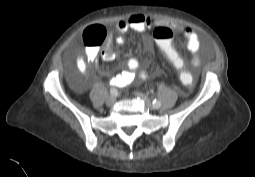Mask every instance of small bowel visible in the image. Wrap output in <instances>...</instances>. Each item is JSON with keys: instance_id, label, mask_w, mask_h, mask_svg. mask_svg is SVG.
I'll list each match as a JSON object with an SVG mask.
<instances>
[{"instance_id": "c3829d8e", "label": "small bowel", "mask_w": 255, "mask_h": 177, "mask_svg": "<svg viewBox=\"0 0 255 177\" xmlns=\"http://www.w3.org/2000/svg\"><path fill=\"white\" fill-rule=\"evenodd\" d=\"M157 25H164L171 30L178 31L181 36L186 40L187 50L193 56L194 62L198 61V52L200 50V39L198 35L188 26L178 25L171 21H161L159 19L145 16V15H131L130 17L118 21L116 28L119 35L115 37V43L122 45L125 42L124 34L133 30L136 32H145ZM158 44V43H157ZM146 50L153 49V44L147 42L145 45ZM99 50L94 47H90L86 51V55L78 56L76 59V67L82 74H88L89 67L87 62L94 63L99 57ZM101 56L105 60H111L114 56L113 41L109 37L106 44L101 52ZM149 78L147 71L142 70L140 67V62L137 58H130L126 63V69L119 74L112 77L110 83L116 87H125L130 84H138L146 81Z\"/></svg>"}]
</instances>
